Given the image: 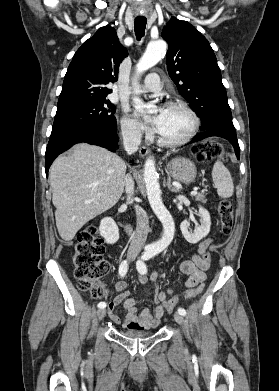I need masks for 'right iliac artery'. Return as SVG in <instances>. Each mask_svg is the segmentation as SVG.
Listing matches in <instances>:
<instances>
[{
  "label": "right iliac artery",
  "instance_id": "82829eb1",
  "mask_svg": "<svg viewBox=\"0 0 279 391\" xmlns=\"http://www.w3.org/2000/svg\"><path fill=\"white\" fill-rule=\"evenodd\" d=\"M127 271H128V263H127L126 260H124V261L120 264V266H119V275H120L121 277H124V276L126 275ZM98 307L101 308V309H104V308L106 307V303H105V302H100V303L98 304Z\"/></svg>",
  "mask_w": 279,
  "mask_h": 391
}]
</instances>
